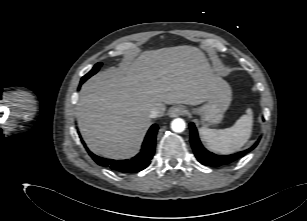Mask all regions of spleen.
Returning a JSON list of instances; mask_svg holds the SVG:
<instances>
[{"label":"spleen","instance_id":"3e777b00","mask_svg":"<svg viewBox=\"0 0 307 221\" xmlns=\"http://www.w3.org/2000/svg\"><path fill=\"white\" fill-rule=\"evenodd\" d=\"M253 112L251 108L246 110L235 124L225 129H209L202 127L200 135L208 148L220 154H229L241 149L249 140L252 133Z\"/></svg>","mask_w":307,"mask_h":221}]
</instances>
